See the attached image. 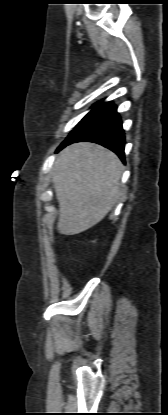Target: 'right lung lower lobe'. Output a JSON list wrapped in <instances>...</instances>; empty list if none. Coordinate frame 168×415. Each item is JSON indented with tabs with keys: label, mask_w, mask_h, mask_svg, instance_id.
I'll return each mask as SVG.
<instances>
[{
	"label": "right lung lower lobe",
	"mask_w": 168,
	"mask_h": 415,
	"mask_svg": "<svg viewBox=\"0 0 168 415\" xmlns=\"http://www.w3.org/2000/svg\"><path fill=\"white\" fill-rule=\"evenodd\" d=\"M116 109L112 102L95 103L56 152L75 142H93L112 150L124 162L125 136Z\"/></svg>",
	"instance_id": "1"
}]
</instances>
